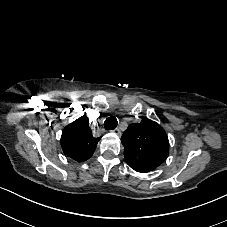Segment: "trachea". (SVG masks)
<instances>
[{
    "instance_id": "3493384b",
    "label": "trachea",
    "mask_w": 227,
    "mask_h": 227,
    "mask_svg": "<svg viewBox=\"0 0 227 227\" xmlns=\"http://www.w3.org/2000/svg\"><path fill=\"white\" fill-rule=\"evenodd\" d=\"M118 125L117 118L115 116L108 117L104 122V127L106 130H114Z\"/></svg>"
}]
</instances>
